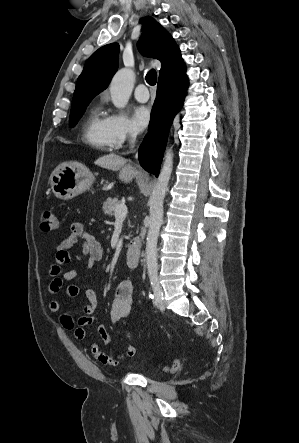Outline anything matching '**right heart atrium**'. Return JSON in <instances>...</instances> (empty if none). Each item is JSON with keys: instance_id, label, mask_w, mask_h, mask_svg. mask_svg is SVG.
<instances>
[{"instance_id": "1", "label": "right heart atrium", "mask_w": 299, "mask_h": 443, "mask_svg": "<svg viewBox=\"0 0 299 443\" xmlns=\"http://www.w3.org/2000/svg\"><path fill=\"white\" fill-rule=\"evenodd\" d=\"M107 133L113 148H120L133 141L137 133L126 115L111 113L106 117Z\"/></svg>"}]
</instances>
